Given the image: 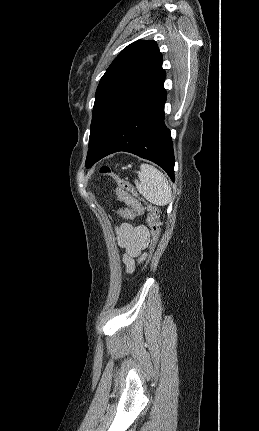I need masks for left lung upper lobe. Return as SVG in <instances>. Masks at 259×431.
I'll return each instance as SVG.
<instances>
[{"label":"left lung upper lobe","instance_id":"5c2ea615","mask_svg":"<svg viewBox=\"0 0 259 431\" xmlns=\"http://www.w3.org/2000/svg\"><path fill=\"white\" fill-rule=\"evenodd\" d=\"M162 54L153 40H138L114 59L95 94L88 163L116 124L164 79Z\"/></svg>","mask_w":259,"mask_h":431}]
</instances>
